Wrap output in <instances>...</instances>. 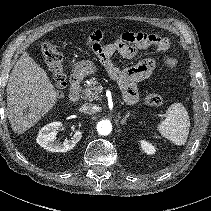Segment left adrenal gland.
I'll return each instance as SVG.
<instances>
[{
    "label": "left adrenal gland",
    "instance_id": "a2214340",
    "mask_svg": "<svg viewBox=\"0 0 211 211\" xmlns=\"http://www.w3.org/2000/svg\"><path fill=\"white\" fill-rule=\"evenodd\" d=\"M129 114L128 115H126L121 121H120V124L121 125H124V124H126V121H127V119L129 118Z\"/></svg>",
    "mask_w": 211,
    "mask_h": 211
}]
</instances>
